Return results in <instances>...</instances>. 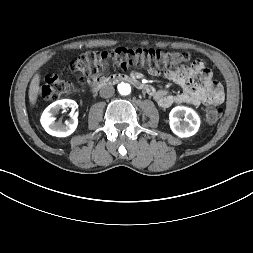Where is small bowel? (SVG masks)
<instances>
[{
	"label": "small bowel",
	"instance_id": "c3829d8e",
	"mask_svg": "<svg viewBox=\"0 0 253 253\" xmlns=\"http://www.w3.org/2000/svg\"><path fill=\"white\" fill-rule=\"evenodd\" d=\"M148 74L153 77L165 76L181 88L180 92L170 93L166 89L152 87L153 93L150 95L162 108L176 104H220L224 100L221 85L213 79L212 73L202 61H193L188 66L184 63L163 68L153 66L148 69Z\"/></svg>",
	"mask_w": 253,
	"mask_h": 253
}]
</instances>
